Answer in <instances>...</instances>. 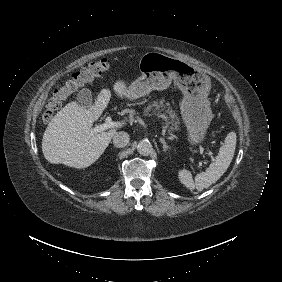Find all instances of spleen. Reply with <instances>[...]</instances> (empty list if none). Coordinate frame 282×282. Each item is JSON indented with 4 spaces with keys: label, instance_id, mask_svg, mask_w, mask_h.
Returning a JSON list of instances; mask_svg holds the SVG:
<instances>
[{
    "label": "spleen",
    "instance_id": "3e777b00",
    "mask_svg": "<svg viewBox=\"0 0 282 282\" xmlns=\"http://www.w3.org/2000/svg\"><path fill=\"white\" fill-rule=\"evenodd\" d=\"M236 133L230 132L224 141V145L220 147L219 153L215 161L210 164L205 172L198 173L193 181L190 171L183 169L178 172L179 180L188 189L202 191L215 183L228 169L235 153Z\"/></svg>",
    "mask_w": 282,
    "mask_h": 282
}]
</instances>
